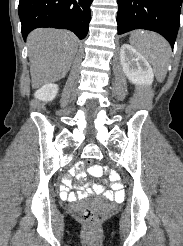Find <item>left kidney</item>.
Masks as SVG:
<instances>
[{
    "label": "left kidney",
    "instance_id": "5707ae66",
    "mask_svg": "<svg viewBox=\"0 0 183 246\" xmlns=\"http://www.w3.org/2000/svg\"><path fill=\"white\" fill-rule=\"evenodd\" d=\"M120 59L126 77L136 85H151L154 80L152 67L134 47L123 44Z\"/></svg>",
    "mask_w": 183,
    "mask_h": 246
}]
</instances>
